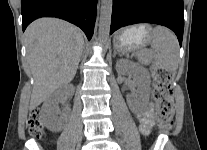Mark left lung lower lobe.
<instances>
[{"instance_id":"0a47b994","label":"left lung lower lobe","mask_w":207,"mask_h":150,"mask_svg":"<svg viewBox=\"0 0 207 150\" xmlns=\"http://www.w3.org/2000/svg\"><path fill=\"white\" fill-rule=\"evenodd\" d=\"M183 0H113L110 34L136 23H153L170 28L182 44Z\"/></svg>"}]
</instances>
